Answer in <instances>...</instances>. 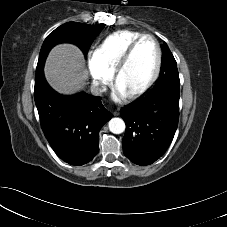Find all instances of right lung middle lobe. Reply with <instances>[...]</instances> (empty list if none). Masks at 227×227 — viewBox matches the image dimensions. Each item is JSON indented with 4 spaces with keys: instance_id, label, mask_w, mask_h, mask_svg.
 Returning <instances> with one entry per match:
<instances>
[{
    "instance_id": "dd1d6c3e",
    "label": "right lung middle lobe",
    "mask_w": 227,
    "mask_h": 227,
    "mask_svg": "<svg viewBox=\"0 0 227 227\" xmlns=\"http://www.w3.org/2000/svg\"><path fill=\"white\" fill-rule=\"evenodd\" d=\"M104 26V24L88 25L78 22H68L59 26L45 39L39 54L36 70L43 69L49 51L59 43L75 44L86 56L92 42Z\"/></svg>"
}]
</instances>
